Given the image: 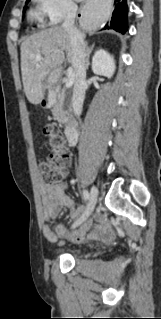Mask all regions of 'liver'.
<instances>
[{
    "label": "liver",
    "instance_id": "6515ba94",
    "mask_svg": "<svg viewBox=\"0 0 161 319\" xmlns=\"http://www.w3.org/2000/svg\"><path fill=\"white\" fill-rule=\"evenodd\" d=\"M85 35H83V38ZM66 53L72 63L73 52L68 32L54 26L37 32L21 44V72L25 95L31 104H39L45 95L47 77L59 66ZM37 56H43L37 60Z\"/></svg>",
    "mask_w": 161,
    "mask_h": 319
}]
</instances>
